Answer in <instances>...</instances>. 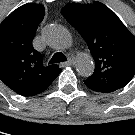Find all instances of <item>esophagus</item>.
Here are the masks:
<instances>
[{
  "instance_id": "1",
  "label": "esophagus",
  "mask_w": 135,
  "mask_h": 135,
  "mask_svg": "<svg viewBox=\"0 0 135 135\" xmlns=\"http://www.w3.org/2000/svg\"><path fill=\"white\" fill-rule=\"evenodd\" d=\"M64 65H73L74 64V58L70 57L67 62L63 63Z\"/></svg>"
}]
</instances>
